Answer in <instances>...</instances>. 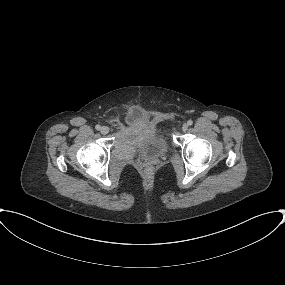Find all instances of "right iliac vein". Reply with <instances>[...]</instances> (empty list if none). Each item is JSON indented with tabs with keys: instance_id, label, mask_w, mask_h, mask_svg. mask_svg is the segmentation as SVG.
<instances>
[{
	"instance_id": "1",
	"label": "right iliac vein",
	"mask_w": 285,
	"mask_h": 285,
	"mask_svg": "<svg viewBox=\"0 0 285 285\" xmlns=\"http://www.w3.org/2000/svg\"><path fill=\"white\" fill-rule=\"evenodd\" d=\"M100 132H101L102 134H104V135L108 134V133H109V127H107V126H102V127L100 128Z\"/></svg>"
}]
</instances>
